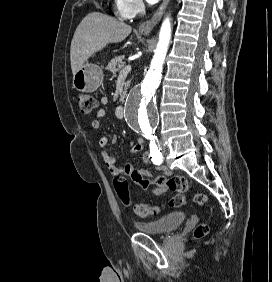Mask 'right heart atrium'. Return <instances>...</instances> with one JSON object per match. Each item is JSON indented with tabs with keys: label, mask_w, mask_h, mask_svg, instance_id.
Listing matches in <instances>:
<instances>
[{
	"label": "right heart atrium",
	"mask_w": 272,
	"mask_h": 282,
	"mask_svg": "<svg viewBox=\"0 0 272 282\" xmlns=\"http://www.w3.org/2000/svg\"><path fill=\"white\" fill-rule=\"evenodd\" d=\"M142 0H121V3L118 6V13L132 18L139 14L143 10Z\"/></svg>",
	"instance_id": "1"
}]
</instances>
